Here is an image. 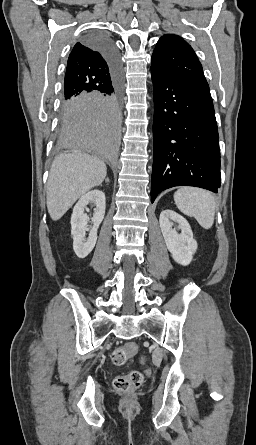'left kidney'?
I'll return each instance as SVG.
<instances>
[{
  "mask_svg": "<svg viewBox=\"0 0 256 445\" xmlns=\"http://www.w3.org/2000/svg\"><path fill=\"white\" fill-rule=\"evenodd\" d=\"M159 223L167 249L173 259L183 266L189 265L198 245L188 221L173 210L167 209L161 212Z\"/></svg>",
  "mask_w": 256,
  "mask_h": 445,
  "instance_id": "1",
  "label": "left kidney"
}]
</instances>
